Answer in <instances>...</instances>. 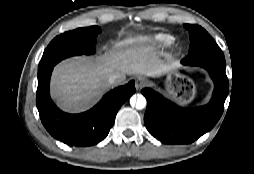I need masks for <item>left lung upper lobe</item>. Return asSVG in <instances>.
I'll return each instance as SVG.
<instances>
[{"label":"left lung upper lobe","instance_id":"left-lung-upper-lobe-1","mask_svg":"<svg viewBox=\"0 0 254 174\" xmlns=\"http://www.w3.org/2000/svg\"><path fill=\"white\" fill-rule=\"evenodd\" d=\"M184 27L190 34L189 52L184 61H216L225 64L223 52L204 28L190 24Z\"/></svg>","mask_w":254,"mask_h":174}]
</instances>
